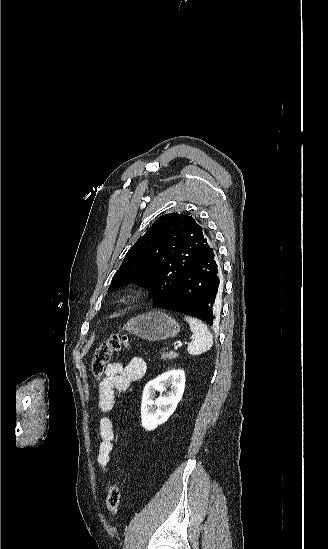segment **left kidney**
<instances>
[{"label":"left kidney","mask_w":328,"mask_h":549,"mask_svg":"<svg viewBox=\"0 0 328 549\" xmlns=\"http://www.w3.org/2000/svg\"><path fill=\"white\" fill-rule=\"evenodd\" d=\"M168 391L165 397H158L155 399V391L164 393ZM185 389V373L183 369H174V371H167L163 375H159L157 379L149 381L144 387L142 405H141V419L144 429L147 431H153L158 425L165 423L172 413H174L179 401L182 399V395Z\"/></svg>","instance_id":"5707ae66"}]
</instances>
